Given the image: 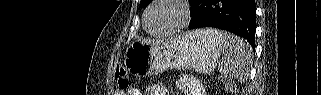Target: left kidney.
Here are the masks:
<instances>
[{
	"label": "left kidney",
	"mask_w": 321,
	"mask_h": 95,
	"mask_svg": "<svg viewBox=\"0 0 321 95\" xmlns=\"http://www.w3.org/2000/svg\"><path fill=\"white\" fill-rule=\"evenodd\" d=\"M227 89H229L230 92H233V88L232 87H229Z\"/></svg>",
	"instance_id": "5707ae66"
}]
</instances>
